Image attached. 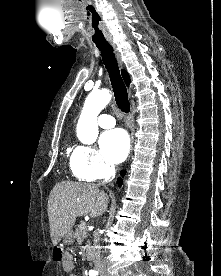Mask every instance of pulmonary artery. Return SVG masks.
<instances>
[{"label":"pulmonary artery","mask_w":221,"mask_h":276,"mask_svg":"<svg viewBox=\"0 0 221 276\" xmlns=\"http://www.w3.org/2000/svg\"><path fill=\"white\" fill-rule=\"evenodd\" d=\"M98 124L102 128L109 129L115 126V120L110 115L102 114L98 118Z\"/></svg>","instance_id":"pulmonary-artery-1"}]
</instances>
